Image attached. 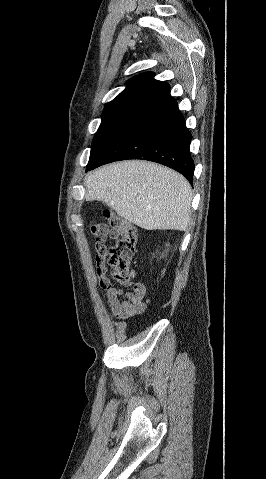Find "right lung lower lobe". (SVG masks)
Listing matches in <instances>:
<instances>
[{"instance_id":"98d812e1","label":"right lung lower lobe","mask_w":266,"mask_h":479,"mask_svg":"<svg viewBox=\"0 0 266 479\" xmlns=\"http://www.w3.org/2000/svg\"><path fill=\"white\" fill-rule=\"evenodd\" d=\"M192 135L170 93L138 112L86 168L126 159H143L168 166L192 184L195 165L189 150Z\"/></svg>"}]
</instances>
